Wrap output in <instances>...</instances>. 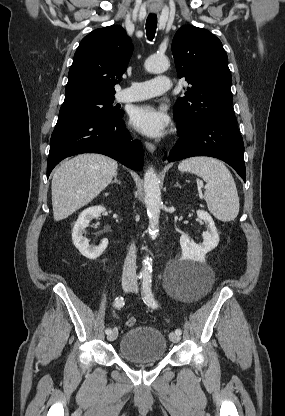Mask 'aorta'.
I'll return each instance as SVG.
<instances>
[{
  "label": "aorta",
  "instance_id": "obj_1",
  "mask_svg": "<svg viewBox=\"0 0 285 416\" xmlns=\"http://www.w3.org/2000/svg\"><path fill=\"white\" fill-rule=\"evenodd\" d=\"M169 67V61L165 56L152 55L145 61V69L150 73H162ZM145 206L149 217V230L151 234L158 231L160 209L162 205L161 190L158 177L153 167L148 168L144 175ZM143 276H150L152 272L151 259L143 260Z\"/></svg>",
  "mask_w": 285,
  "mask_h": 416
}]
</instances>
